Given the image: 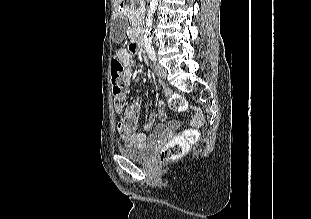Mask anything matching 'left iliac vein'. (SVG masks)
I'll list each match as a JSON object with an SVG mask.
<instances>
[{
    "instance_id": "4c4485c4",
    "label": "left iliac vein",
    "mask_w": 311,
    "mask_h": 219,
    "mask_svg": "<svg viewBox=\"0 0 311 219\" xmlns=\"http://www.w3.org/2000/svg\"><path fill=\"white\" fill-rule=\"evenodd\" d=\"M153 67H154V71H155V73L157 74V76H158L160 79L165 80L166 77H167V71H166V69H165L162 65H160V64H158V63H154Z\"/></svg>"
}]
</instances>
